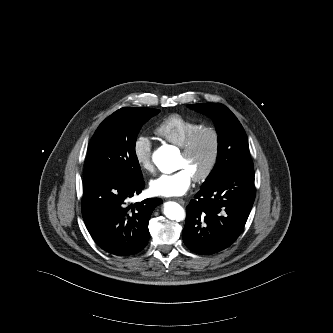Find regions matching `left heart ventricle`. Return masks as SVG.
<instances>
[{"mask_svg": "<svg viewBox=\"0 0 333 333\" xmlns=\"http://www.w3.org/2000/svg\"><path fill=\"white\" fill-rule=\"evenodd\" d=\"M211 147L212 140L210 135H202L190 156H184L181 153L178 168H185L192 176L199 174L205 168L209 160Z\"/></svg>", "mask_w": 333, "mask_h": 333, "instance_id": "b2bd125f", "label": "left heart ventricle"}]
</instances>
